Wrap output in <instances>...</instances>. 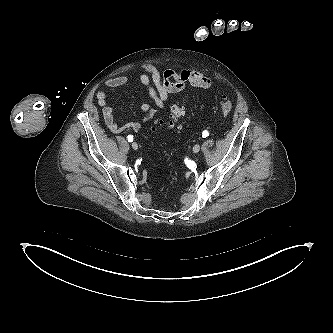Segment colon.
Wrapping results in <instances>:
<instances>
[{
  "label": "colon",
  "mask_w": 333,
  "mask_h": 333,
  "mask_svg": "<svg viewBox=\"0 0 333 333\" xmlns=\"http://www.w3.org/2000/svg\"><path fill=\"white\" fill-rule=\"evenodd\" d=\"M220 111L222 114L227 115L232 111V103L223 98L220 103ZM185 110L182 105H174L171 108V119L167 122V126L170 128H176L178 126V122L184 116ZM159 123H156V126H159Z\"/></svg>",
  "instance_id": "5ec220e1"
}]
</instances>
